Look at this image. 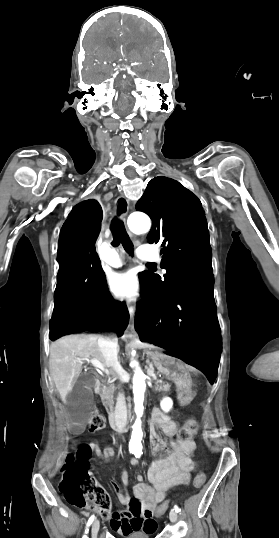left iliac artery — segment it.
I'll return each mask as SVG.
<instances>
[{
  "mask_svg": "<svg viewBox=\"0 0 279 538\" xmlns=\"http://www.w3.org/2000/svg\"><path fill=\"white\" fill-rule=\"evenodd\" d=\"M141 454H142V449H137V450L135 451V456H136L137 458H140ZM174 510H175L177 513H179V512L181 511L180 508H179L177 505L174 506Z\"/></svg>",
  "mask_w": 279,
  "mask_h": 538,
  "instance_id": "obj_1",
  "label": "left iliac artery"
}]
</instances>
